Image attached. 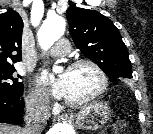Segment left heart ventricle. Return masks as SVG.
<instances>
[{
    "instance_id": "obj_1",
    "label": "left heart ventricle",
    "mask_w": 153,
    "mask_h": 134,
    "mask_svg": "<svg viewBox=\"0 0 153 134\" xmlns=\"http://www.w3.org/2000/svg\"><path fill=\"white\" fill-rule=\"evenodd\" d=\"M62 76L66 80L65 99L77 101L92 94L99 86V77L89 66H80L66 71Z\"/></svg>"
}]
</instances>
